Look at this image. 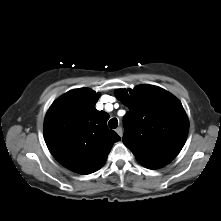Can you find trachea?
Segmentation results:
<instances>
[{
  "instance_id": "obj_1",
  "label": "trachea",
  "mask_w": 221,
  "mask_h": 221,
  "mask_svg": "<svg viewBox=\"0 0 221 221\" xmlns=\"http://www.w3.org/2000/svg\"><path fill=\"white\" fill-rule=\"evenodd\" d=\"M108 126L111 129H115L118 126V120L116 118H112L110 119V121L108 122Z\"/></svg>"
}]
</instances>
